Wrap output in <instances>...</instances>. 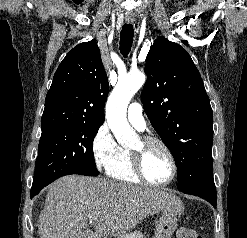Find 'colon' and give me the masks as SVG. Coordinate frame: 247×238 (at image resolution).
I'll return each mask as SVG.
<instances>
[{
	"label": "colon",
	"instance_id": "colon-1",
	"mask_svg": "<svg viewBox=\"0 0 247 238\" xmlns=\"http://www.w3.org/2000/svg\"><path fill=\"white\" fill-rule=\"evenodd\" d=\"M176 238H202V236L193 229L180 227L176 231Z\"/></svg>",
	"mask_w": 247,
	"mask_h": 238
}]
</instances>
